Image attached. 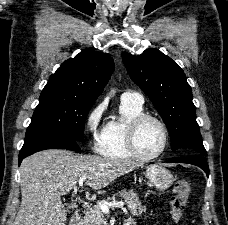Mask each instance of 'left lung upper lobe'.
<instances>
[{
	"label": "left lung upper lobe",
	"mask_w": 228,
	"mask_h": 225,
	"mask_svg": "<svg viewBox=\"0 0 228 225\" xmlns=\"http://www.w3.org/2000/svg\"><path fill=\"white\" fill-rule=\"evenodd\" d=\"M122 58L132 80L150 98L165 122L172 150L185 149V156H206L192 91L179 65L154 49L138 56L124 52Z\"/></svg>",
	"instance_id": "5c2ea615"
}]
</instances>
